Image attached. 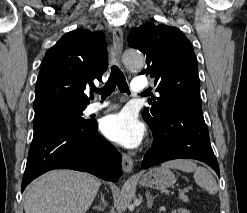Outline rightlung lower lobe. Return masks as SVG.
<instances>
[{"label": "right lung lower lobe", "instance_id": "98d812e1", "mask_svg": "<svg viewBox=\"0 0 247 213\" xmlns=\"http://www.w3.org/2000/svg\"><path fill=\"white\" fill-rule=\"evenodd\" d=\"M59 168L85 171L116 182L122 174L121 154L99 135L96 122H39L34 127L22 192L39 175Z\"/></svg>", "mask_w": 247, "mask_h": 213}]
</instances>
